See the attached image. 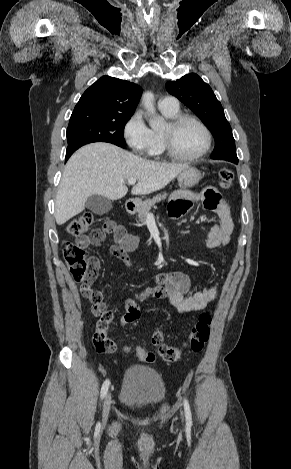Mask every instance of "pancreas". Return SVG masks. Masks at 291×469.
Wrapping results in <instances>:
<instances>
[{"label":"pancreas","instance_id":"pancreas-1","mask_svg":"<svg viewBox=\"0 0 291 469\" xmlns=\"http://www.w3.org/2000/svg\"><path fill=\"white\" fill-rule=\"evenodd\" d=\"M167 194H159L153 199H147L144 202H142L137 209L138 212V218L140 222H143L148 214V212L151 210V208L157 203L160 202L161 200L166 199Z\"/></svg>","mask_w":291,"mask_h":469}]
</instances>
